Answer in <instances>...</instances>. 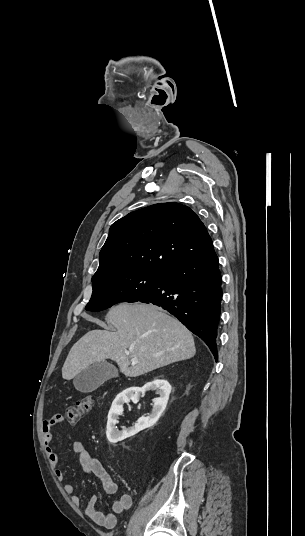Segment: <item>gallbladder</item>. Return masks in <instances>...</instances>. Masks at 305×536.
Listing matches in <instances>:
<instances>
[{
	"mask_svg": "<svg viewBox=\"0 0 305 536\" xmlns=\"http://www.w3.org/2000/svg\"><path fill=\"white\" fill-rule=\"evenodd\" d=\"M110 378H118V370L108 362H95L89 368L82 370L73 380V384L78 392L88 394L97 390L104 382Z\"/></svg>",
	"mask_w": 305,
	"mask_h": 536,
	"instance_id": "bac80fb5",
	"label": "gallbladder"
}]
</instances>
